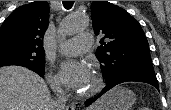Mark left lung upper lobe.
Listing matches in <instances>:
<instances>
[{"label": "left lung upper lobe", "mask_w": 171, "mask_h": 110, "mask_svg": "<svg viewBox=\"0 0 171 110\" xmlns=\"http://www.w3.org/2000/svg\"><path fill=\"white\" fill-rule=\"evenodd\" d=\"M91 18L95 34L104 35L96 56L106 83L127 73H155L144 31L127 11L108 1H93Z\"/></svg>", "instance_id": "left-lung-upper-lobe-1"}]
</instances>
